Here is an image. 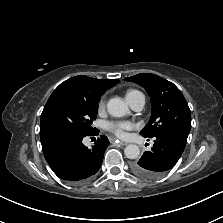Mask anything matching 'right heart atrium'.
<instances>
[{"label":"right heart atrium","instance_id":"1","mask_svg":"<svg viewBox=\"0 0 223 223\" xmlns=\"http://www.w3.org/2000/svg\"><path fill=\"white\" fill-rule=\"evenodd\" d=\"M106 100L102 97L98 102V109L101 111L105 108Z\"/></svg>","mask_w":223,"mask_h":223}]
</instances>
